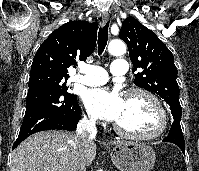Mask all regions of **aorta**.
I'll return each mask as SVG.
<instances>
[{"label":"aorta","instance_id":"aorta-1","mask_svg":"<svg viewBox=\"0 0 199 171\" xmlns=\"http://www.w3.org/2000/svg\"><path fill=\"white\" fill-rule=\"evenodd\" d=\"M108 51L115 56H121L126 53V45L121 40H112L109 43Z\"/></svg>","mask_w":199,"mask_h":171}]
</instances>
